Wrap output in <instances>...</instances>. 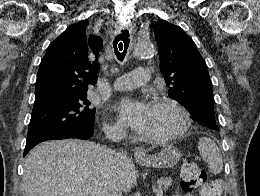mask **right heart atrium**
<instances>
[{
    "mask_svg": "<svg viewBox=\"0 0 260 196\" xmlns=\"http://www.w3.org/2000/svg\"><path fill=\"white\" fill-rule=\"evenodd\" d=\"M105 127H106L107 129H120V128H121L120 124L117 123V122H114V121H109V122H107V123L105 124ZM86 163H87V162H86ZM160 163H161V162H160Z\"/></svg>",
    "mask_w": 260,
    "mask_h": 196,
    "instance_id": "obj_1",
    "label": "right heart atrium"
}]
</instances>
